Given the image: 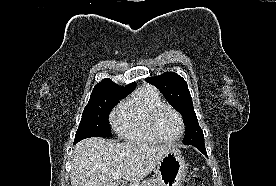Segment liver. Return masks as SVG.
Listing matches in <instances>:
<instances>
[{
    "mask_svg": "<svg viewBox=\"0 0 276 186\" xmlns=\"http://www.w3.org/2000/svg\"><path fill=\"white\" fill-rule=\"evenodd\" d=\"M175 149L169 145L84 139L76 144L72 154L71 186H117L113 179L117 172L123 174L124 180L138 183Z\"/></svg>",
    "mask_w": 276,
    "mask_h": 186,
    "instance_id": "6515ba94",
    "label": "liver"
}]
</instances>
